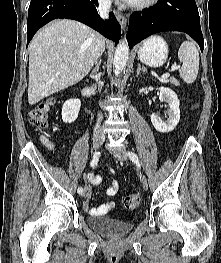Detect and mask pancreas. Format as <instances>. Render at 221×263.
I'll return each mask as SVG.
<instances>
[{"label":"pancreas","mask_w":221,"mask_h":263,"mask_svg":"<svg viewBox=\"0 0 221 263\" xmlns=\"http://www.w3.org/2000/svg\"><path fill=\"white\" fill-rule=\"evenodd\" d=\"M168 82L174 84L175 86H179V85H180L179 81H178L176 78H174V77H171V78L168 80Z\"/></svg>","instance_id":"1"}]
</instances>
